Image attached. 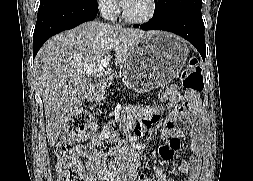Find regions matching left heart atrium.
I'll list each match as a JSON object with an SVG mask.
<instances>
[{"label":"left heart atrium","mask_w":253,"mask_h":181,"mask_svg":"<svg viewBox=\"0 0 253 181\" xmlns=\"http://www.w3.org/2000/svg\"><path fill=\"white\" fill-rule=\"evenodd\" d=\"M130 0H121V5L125 8L129 4Z\"/></svg>","instance_id":"obj_1"}]
</instances>
